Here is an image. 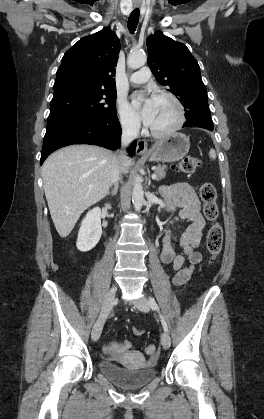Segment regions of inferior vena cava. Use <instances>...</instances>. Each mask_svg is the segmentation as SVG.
I'll list each match as a JSON object with an SVG mask.
<instances>
[{"mask_svg":"<svg viewBox=\"0 0 264 419\" xmlns=\"http://www.w3.org/2000/svg\"><path fill=\"white\" fill-rule=\"evenodd\" d=\"M140 123L134 119H127L122 122L121 145L126 147L129 143L135 140L139 134ZM125 159L124 151H119L114 154L112 162V184L118 185L121 180V174L124 173L122 161Z\"/></svg>","mask_w":264,"mask_h":419,"instance_id":"inferior-vena-cava-1","label":"inferior vena cava"}]
</instances>
